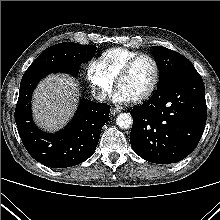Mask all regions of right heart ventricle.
<instances>
[{"label": "right heart ventricle", "mask_w": 220, "mask_h": 220, "mask_svg": "<svg viewBox=\"0 0 220 220\" xmlns=\"http://www.w3.org/2000/svg\"><path fill=\"white\" fill-rule=\"evenodd\" d=\"M138 53L127 48H111L101 54L99 61L109 76L115 79L126 62Z\"/></svg>", "instance_id": "right-heart-ventricle-1"}]
</instances>
